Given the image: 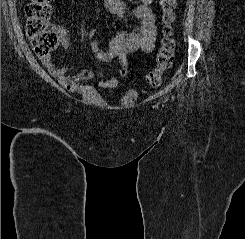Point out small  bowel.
Wrapping results in <instances>:
<instances>
[{
    "label": "small bowel",
    "instance_id": "obj_1",
    "mask_svg": "<svg viewBox=\"0 0 245 239\" xmlns=\"http://www.w3.org/2000/svg\"><path fill=\"white\" fill-rule=\"evenodd\" d=\"M154 0H140L139 5L129 7L123 0H106L105 5L108 11L117 17H131L139 21L137 27L132 31L118 32L109 41L107 49H102L97 41H90L88 49L93 57L103 63H109L113 60L119 61L118 75L124 77L128 73L127 57L131 52H151L155 47L156 25L154 13ZM96 30L90 29L86 36L89 39L95 37ZM61 45L64 49L70 47L68 35L61 32ZM41 62L55 77L58 82L68 91L75 92L79 89L80 83L87 80L98 79V85L101 88H115L119 84L118 77H110L104 79L102 72H93L91 70H83L76 75L68 76L66 68L58 67L51 56L40 57Z\"/></svg>",
    "mask_w": 245,
    "mask_h": 239
}]
</instances>
